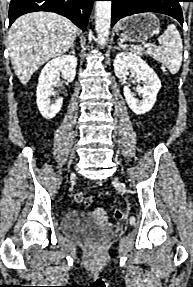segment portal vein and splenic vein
<instances>
[{
	"instance_id": "portal-vein-and-splenic-vein-1",
	"label": "portal vein and splenic vein",
	"mask_w": 193,
	"mask_h": 287,
	"mask_svg": "<svg viewBox=\"0 0 193 287\" xmlns=\"http://www.w3.org/2000/svg\"><path fill=\"white\" fill-rule=\"evenodd\" d=\"M146 46H151V44H146Z\"/></svg>"
}]
</instances>
